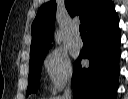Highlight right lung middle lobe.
Listing matches in <instances>:
<instances>
[{"instance_id": "1", "label": "right lung middle lobe", "mask_w": 128, "mask_h": 99, "mask_svg": "<svg viewBox=\"0 0 128 99\" xmlns=\"http://www.w3.org/2000/svg\"><path fill=\"white\" fill-rule=\"evenodd\" d=\"M47 53H43L40 55H37L35 57L30 58L29 63V83L26 95L30 93H34L37 91L39 87V80H40V74H41V67L43 60L45 58Z\"/></svg>"}]
</instances>
